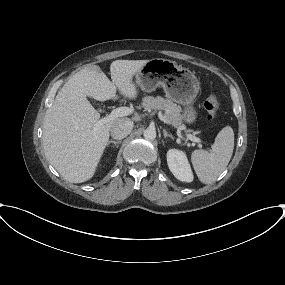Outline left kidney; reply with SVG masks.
Listing matches in <instances>:
<instances>
[{
    "instance_id": "5707ae66",
    "label": "left kidney",
    "mask_w": 285,
    "mask_h": 285,
    "mask_svg": "<svg viewBox=\"0 0 285 285\" xmlns=\"http://www.w3.org/2000/svg\"><path fill=\"white\" fill-rule=\"evenodd\" d=\"M167 164L172 174L182 182H192L193 173L183 151L170 149L167 152Z\"/></svg>"
}]
</instances>
